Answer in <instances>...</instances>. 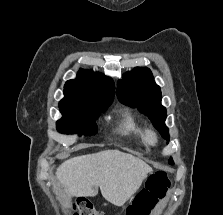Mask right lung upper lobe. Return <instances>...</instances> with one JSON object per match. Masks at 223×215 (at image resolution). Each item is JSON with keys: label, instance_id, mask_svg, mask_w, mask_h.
Instances as JSON below:
<instances>
[{"label": "right lung upper lobe", "instance_id": "obj_1", "mask_svg": "<svg viewBox=\"0 0 223 215\" xmlns=\"http://www.w3.org/2000/svg\"><path fill=\"white\" fill-rule=\"evenodd\" d=\"M115 94L114 82L100 73L79 71L76 79L68 80L64 86V99L59 108L91 107L107 109Z\"/></svg>", "mask_w": 223, "mask_h": 215}]
</instances>
